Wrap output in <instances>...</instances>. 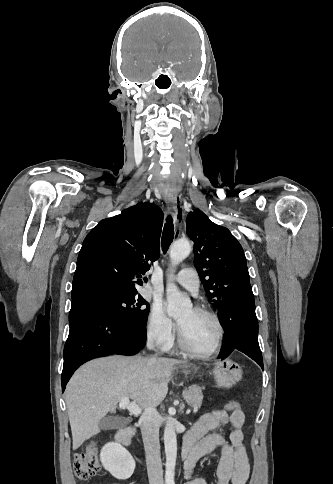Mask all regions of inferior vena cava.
Here are the masks:
<instances>
[{
	"label": "inferior vena cava",
	"mask_w": 333,
	"mask_h": 484,
	"mask_svg": "<svg viewBox=\"0 0 333 484\" xmlns=\"http://www.w3.org/2000/svg\"><path fill=\"white\" fill-rule=\"evenodd\" d=\"M147 348H154L153 338L148 337ZM157 411L148 407L139 419L142 439L146 453L149 484H164L159 444V426L156 422Z\"/></svg>",
	"instance_id": "obj_1"
}]
</instances>
